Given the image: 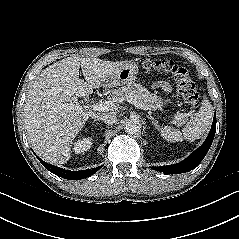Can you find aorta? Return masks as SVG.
Masks as SVG:
<instances>
[{
	"mask_svg": "<svg viewBox=\"0 0 239 239\" xmlns=\"http://www.w3.org/2000/svg\"><path fill=\"white\" fill-rule=\"evenodd\" d=\"M142 124L139 119L130 118L124 124V130L128 134H137L141 131Z\"/></svg>",
	"mask_w": 239,
	"mask_h": 239,
	"instance_id": "762f6f07",
	"label": "aorta"
}]
</instances>
